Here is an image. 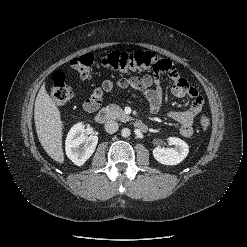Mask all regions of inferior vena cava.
<instances>
[{
	"instance_id": "602c4592",
	"label": "inferior vena cava",
	"mask_w": 247,
	"mask_h": 247,
	"mask_svg": "<svg viewBox=\"0 0 247 247\" xmlns=\"http://www.w3.org/2000/svg\"><path fill=\"white\" fill-rule=\"evenodd\" d=\"M118 128L119 125L114 120H109L105 123V130L110 134L117 132Z\"/></svg>"
}]
</instances>
